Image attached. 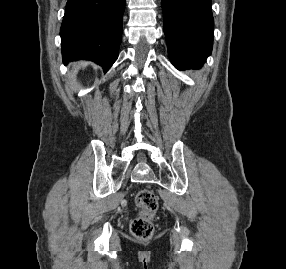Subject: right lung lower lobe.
Segmentation results:
<instances>
[{
  "mask_svg": "<svg viewBox=\"0 0 286 269\" xmlns=\"http://www.w3.org/2000/svg\"><path fill=\"white\" fill-rule=\"evenodd\" d=\"M125 0H68L60 36L65 63L91 60L107 72L118 57Z\"/></svg>",
  "mask_w": 286,
  "mask_h": 269,
  "instance_id": "right-lung-lower-lobe-1",
  "label": "right lung lower lobe"
}]
</instances>
